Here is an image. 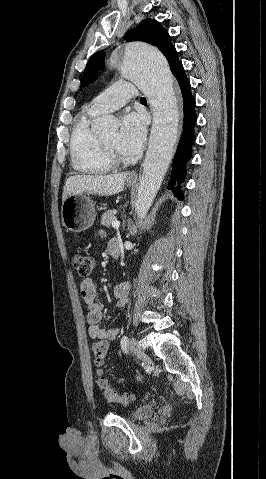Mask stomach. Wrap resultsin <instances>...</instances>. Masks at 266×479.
<instances>
[{"mask_svg": "<svg viewBox=\"0 0 266 479\" xmlns=\"http://www.w3.org/2000/svg\"><path fill=\"white\" fill-rule=\"evenodd\" d=\"M127 183L130 187L135 185V181ZM95 216L94 204L86 194L69 195L62 203V224L68 231L79 233L89 229Z\"/></svg>", "mask_w": 266, "mask_h": 479, "instance_id": "1", "label": "stomach"}]
</instances>
